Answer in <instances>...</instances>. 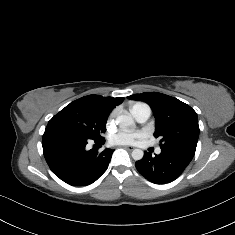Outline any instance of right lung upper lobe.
Listing matches in <instances>:
<instances>
[{
    "instance_id": "obj_1",
    "label": "right lung upper lobe",
    "mask_w": 235,
    "mask_h": 235,
    "mask_svg": "<svg viewBox=\"0 0 235 235\" xmlns=\"http://www.w3.org/2000/svg\"><path fill=\"white\" fill-rule=\"evenodd\" d=\"M124 98H113V97H103L100 95H88L82 98H79L69 105L66 108L81 106V107H88L95 110L102 111L104 113H110L111 110L121 104ZM48 125H53L52 123H48Z\"/></svg>"
}]
</instances>
